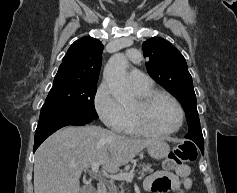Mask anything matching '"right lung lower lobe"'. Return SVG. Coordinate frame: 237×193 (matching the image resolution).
Here are the masks:
<instances>
[{"mask_svg": "<svg viewBox=\"0 0 237 193\" xmlns=\"http://www.w3.org/2000/svg\"><path fill=\"white\" fill-rule=\"evenodd\" d=\"M93 120V118L77 117L60 111L41 109L40 119L35 132L34 152L48 136L58 129L68 125H85Z\"/></svg>", "mask_w": 237, "mask_h": 193, "instance_id": "obj_1", "label": "right lung lower lobe"}]
</instances>
